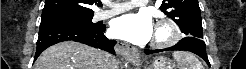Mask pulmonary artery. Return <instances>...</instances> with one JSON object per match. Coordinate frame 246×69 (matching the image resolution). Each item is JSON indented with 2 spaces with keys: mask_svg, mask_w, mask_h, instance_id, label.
<instances>
[{
  "mask_svg": "<svg viewBox=\"0 0 246 69\" xmlns=\"http://www.w3.org/2000/svg\"><path fill=\"white\" fill-rule=\"evenodd\" d=\"M147 4H148L147 1L135 0V1L131 2V5L120 4V5L112 7V9H110L108 11H99L96 14V17H97V19H105V18L114 16L116 14H119L121 12H124L130 8H134V7L139 8V7L145 6Z\"/></svg>",
  "mask_w": 246,
  "mask_h": 69,
  "instance_id": "pulmonary-artery-1",
  "label": "pulmonary artery"
}]
</instances>
